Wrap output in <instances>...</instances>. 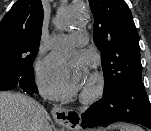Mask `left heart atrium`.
Returning a JSON list of instances; mask_svg holds the SVG:
<instances>
[{
	"label": "left heart atrium",
	"instance_id": "obj_1",
	"mask_svg": "<svg viewBox=\"0 0 151 131\" xmlns=\"http://www.w3.org/2000/svg\"><path fill=\"white\" fill-rule=\"evenodd\" d=\"M87 80V61L80 54L55 53L39 69L40 89L45 96L53 99L76 94Z\"/></svg>",
	"mask_w": 151,
	"mask_h": 131
}]
</instances>
